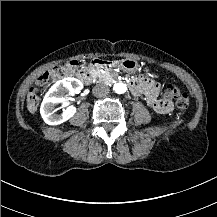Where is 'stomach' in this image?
Wrapping results in <instances>:
<instances>
[{"instance_id": "obj_1", "label": "stomach", "mask_w": 217, "mask_h": 217, "mask_svg": "<svg viewBox=\"0 0 217 217\" xmlns=\"http://www.w3.org/2000/svg\"><path fill=\"white\" fill-rule=\"evenodd\" d=\"M119 68L127 73H135L138 68V62L134 59L126 58L119 61Z\"/></svg>"}]
</instances>
